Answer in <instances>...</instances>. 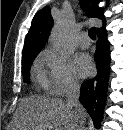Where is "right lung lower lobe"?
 Masks as SVG:
<instances>
[{
	"instance_id": "obj_1",
	"label": "right lung lower lobe",
	"mask_w": 123,
	"mask_h": 130,
	"mask_svg": "<svg viewBox=\"0 0 123 130\" xmlns=\"http://www.w3.org/2000/svg\"><path fill=\"white\" fill-rule=\"evenodd\" d=\"M97 36L94 59L98 72L95 78L83 82L80 93V102L89 112L96 128L103 118L110 72V46L106 29L98 31Z\"/></svg>"
}]
</instances>
